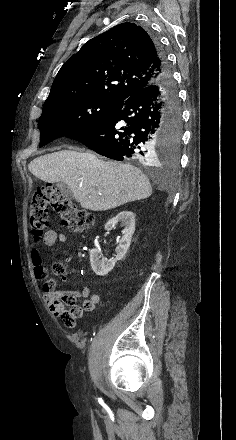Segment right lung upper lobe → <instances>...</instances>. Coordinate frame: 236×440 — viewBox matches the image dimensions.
Wrapping results in <instances>:
<instances>
[{"instance_id":"1","label":"right lung upper lobe","mask_w":236,"mask_h":440,"mask_svg":"<svg viewBox=\"0 0 236 440\" xmlns=\"http://www.w3.org/2000/svg\"><path fill=\"white\" fill-rule=\"evenodd\" d=\"M161 74L155 42L142 27L126 22L74 54L59 70L46 102L91 97L121 103Z\"/></svg>"}]
</instances>
